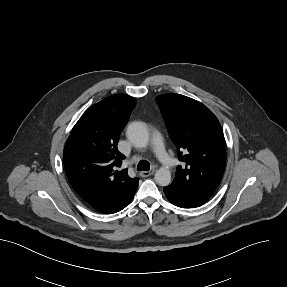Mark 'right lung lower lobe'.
Segmentation results:
<instances>
[{
    "instance_id": "98d812e1",
    "label": "right lung lower lobe",
    "mask_w": 287,
    "mask_h": 287,
    "mask_svg": "<svg viewBox=\"0 0 287 287\" xmlns=\"http://www.w3.org/2000/svg\"><path fill=\"white\" fill-rule=\"evenodd\" d=\"M137 186L109 195L99 201L88 203L91 208L104 214H113L124 209L133 199Z\"/></svg>"
}]
</instances>
